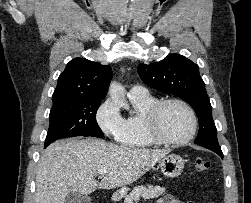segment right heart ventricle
I'll return each mask as SVG.
<instances>
[{
    "label": "right heart ventricle",
    "mask_w": 251,
    "mask_h": 203,
    "mask_svg": "<svg viewBox=\"0 0 251 203\" xmlns=\"http://www.w3.org/2000/svg\"><path fill=\"white\" fill-rule=\"evenodd\" d=\"M136 113L124 120V128L117 137L118 142L128 148H147L155 145L147 135L144 127V115L146 110L156 100L152 96L145 98H130Z\"/></svg>",
    "instance_id": "1"
}]
</instances>
